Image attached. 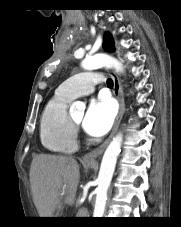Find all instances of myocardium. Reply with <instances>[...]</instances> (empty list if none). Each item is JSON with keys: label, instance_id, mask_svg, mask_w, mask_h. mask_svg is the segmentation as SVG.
<instances>
[{"label": "myocardium", "instance_id": "obj_1", "mask_svg": "<svg viewBox=\"0 0 181 227\" xmlns=\"http://www.w3.org/2000/svg\"><path fill=\"white\" fill-rule=\"evenodd\" d=\"M69 117H70V121H71L73 127L75 129H77L79 127V123H77L71 116H69Z\"/></svg>", "mask_w": 181, "mask_h": 227}]
</instances>
